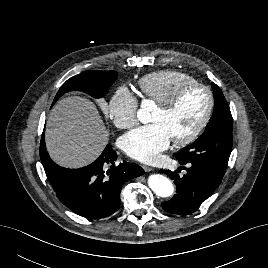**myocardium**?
I'll use <instances>...</instances> for the list:
<instances>
[{"mask_svg": "<svg viewBox=\"0 0 268 268\" xmlns=\"http://www.w3.org/2000/svg\"><path fill=\"white\" fill-rule=\"evenodd\" d=\"M193 88H200V89L205 90V92L207 93V97H208L207 107H206V110L202 119L199 121L196 127L188 135L181 137V138L172 139L173 143L178 146H185L194 142L200 136V134L205 129V127L207 126L211 118L213 108H214L213 91L211 90L210 87L202 83H199L196 81L189 82L177 88L176 91L172 94V96L166 102L158 104V109L160 111H162L163 113H169L177 106L182 95L186 91L193 89Z\"/></svg>", "mask_w": 268, "mask_h": 268, "instance_id": "1", "label": "myocardium"}]
</instances>
